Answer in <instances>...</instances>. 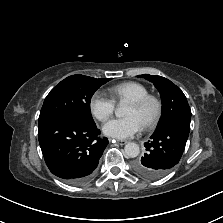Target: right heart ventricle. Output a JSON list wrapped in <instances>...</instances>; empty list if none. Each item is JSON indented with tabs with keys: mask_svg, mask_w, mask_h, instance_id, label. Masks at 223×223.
Segmentation results:
<instances>
[{
	"mask_svg": "<svg viewBox=\"0 0 223 223\" xmlns=\"http://www.w3.org/2000/svg\"><path fill=\"white\" fill-rule=\"evenodd\" d=\"M115 102L132 101L149 94L148 88L136 81L122 82L108 89Z\"/></svg>",
	"mask_w": 223,
	"mask_h": 223,
	"instance_id": "e07e8e85",
	"label": "right heart ventricle"
}]
</instances>
